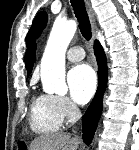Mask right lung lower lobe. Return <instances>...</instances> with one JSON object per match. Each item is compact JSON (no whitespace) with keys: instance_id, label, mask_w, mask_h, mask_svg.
<instances>
[{"instance_id":"right-lung-lower-lobe-1","label":"right lung lower lobe","mask_w":139,"mask_h":150,"mask_svg":"<svg viewBox=\"0 0 139 150\" xmlns=\"http://www.w3.org/2000/svg\"><path fill=\"white\" fill-rule=\"evenodd\" d=\"M94 52L98 63L99 82H98V89L96 95L82 119L83 141L87 145L92 141L93 135L97 128L99 118L102 113L103 94L106 89L107 77H108L106 56L99 41H95Z\"/></svg>"}]
</instances>
